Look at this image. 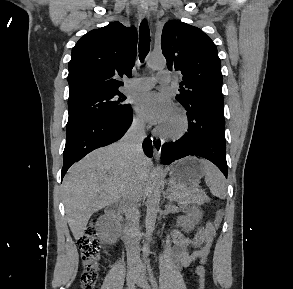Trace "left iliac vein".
Returning a JSON list of instances; mask_svg holds the SVG:
<instances>
[{
  "instance_id": "1",
  "label": "left iliac vein",
  "mask_w": 293,
  "mask_h": 289,
  "mask_svg": "<svg viewBox=\"0 0 293 289\" xmlns=\"http://www.w3.org/2000/svg\"><path fill=\"white\" fill-rule=\"evenodd\" d=\"M145 268L142 261L138 262V273L136 277V281L140 284L143 289H151V287L147 283Z\"/></svg>"
}]
</instances>
